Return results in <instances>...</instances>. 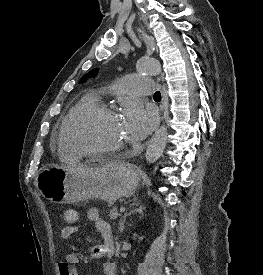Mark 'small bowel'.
I'll list each match as a JSON object with an SVG mask.
<instances>
[{"mask_svg": "<svg viewBox=\"0 0 263 275\" xmlns=\"http://www.w3.org/2000/svg\"><path fill=\"white\" fill-rule=\"evenodd\" d=\"M87 218L94 223L95 228L100 232L102 236V243L95 246L91 251V257L99 260L105 258L103 263V275H117V267L110 259L114 254V242L112 237V228L110 224L105 221L98 209L91 208L87 211ZM79 230V226L76 224L65 226L61 231V236L64 239L72 237ZM80 262L78 255L75 252H69L65 259L59 263V271L62 273V269H66V273L63 275H78L77 265Z\"/></svg>", "mask_w": 263, "mask_h": 275, "instance_id": "c3829d8e", "label": "small bowel"}]
</instances>
